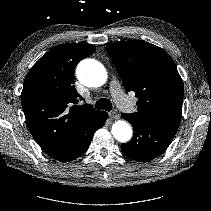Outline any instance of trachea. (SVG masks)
Wrapping results in <instances>:
<instances>
[{
  "label": "trachea",
  "mask_w": 211,
  "mask_h": 211,
  "mask_svg": "<svg viewBox=\"0 0 211 211\" xmlns=\"http://www.w3.org/2000/svg\"><path fill=\"white\" fill-rule=\"evenodd\" d=\"M96 109H103L106 111H111L112 110V103L109 99L106 98H100L96 104H95Z\"/></svg>",
  "instance_id": "3493384b"
}]
</instances>
